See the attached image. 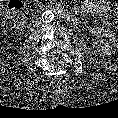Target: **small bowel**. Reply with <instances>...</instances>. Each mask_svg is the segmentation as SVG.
I'll use <instances>...</instances> for the list:
<instances>
[{
    "label": "small bowel",
    "mask_w": 118,
    "mask_h": 118,
    "mask_svg": "<svg viewBox=\"0 0 118 118\" xmlns=\"http://www.w3.org/2000/svg\"><path fill=\"white\" fill-rule=\"evenodd\" d=\"M85 9L89 12H94L98 14H105L109 10V5L103 0H86ZM118 9V8H117ZM110 40L118 44V36L111 33L105 34Z\"/></svg>",
    "instance_id": "1"
}]
</instances>
